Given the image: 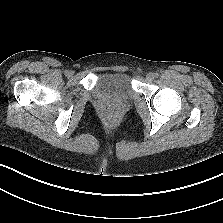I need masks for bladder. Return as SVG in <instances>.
<instances>
[{"mask_svg":"<svg viewBox=\"0 0 223 223\" xmlns=\"http://www.w3.org/2000/svg\"><path fill=\"white\" fill-rule=\"evenodd\" d=\"M93 93L100 99L129 101L135 95L130 77L125 73H105L94 85Z\"/></svg>","mask_w":223,"mask_h":223,"instance_id":"31cf9c89","label":"bladder"}]
</instances>
